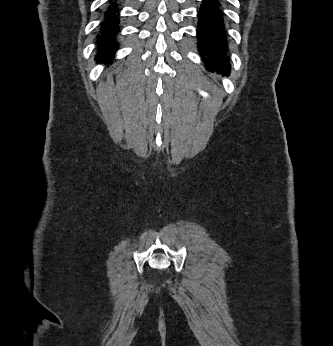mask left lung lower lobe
<instances>
[{
  "instance_id": "0a47b994",
  "label": "left lung lower lobe",
  "mask_w": 333,
  "mask_h": 346,
  "mask_svg": "<svg viewBox=\"0 0 333 346\" xmlns=\"http://www.w3.org/2000/svg\"><path fill=\"white\" fill-rule=\"evenodd\" d=\"M221 0H203L198 11L197 39L200 56L224 74L230 72L228 39Z\"/></svg>"
}]
</instances>
